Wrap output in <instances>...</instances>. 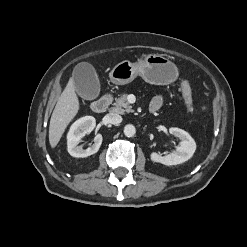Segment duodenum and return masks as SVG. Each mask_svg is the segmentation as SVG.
<instances>
[{
	"label": "duodenum",
	"mask_w": 247,
	"mask_h": 247,
	"mask_svg": "<svg viewBox=\"0 0 247 247\" xmlns=\"http://www.w3.org/2000/svg\"><path fill=\"white\" fill-rule=\"evenodd\" d=\"M111 102L109 95H104L91 103V109L95 113H102L106 111Z\"/></svg>",
	"instance_id": "410a0bca"
}]
</instances>
